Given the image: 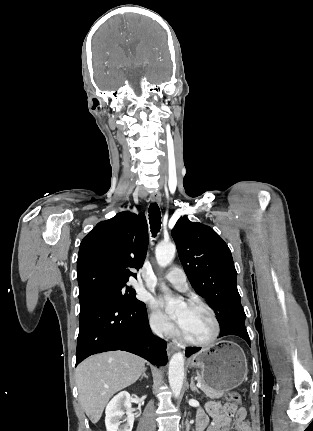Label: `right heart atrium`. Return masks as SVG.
<instances>
[{
    "label": "right heart atrium",
    "instance_id": "right-heart-atrium-1",
    "mask_svg": "<svg viewBox=\"0 0 313 431\" xmlns=\"http://www.w3.org/2000/svg\"><path fill=\"white\" fill-rule=\"evenodd\" d=\"M149 325L152 331L158 335L167 336L173 333L172 325L156 310H152L149 314Z\"/></svg>",
    "mask_w": 313,
    "mask_h": 431
}]
</instances>
